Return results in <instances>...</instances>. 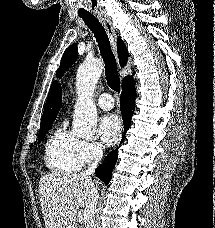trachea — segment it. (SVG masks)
I'll list each match as a JSON object with an SVG mask.
<instances>
[{
  "mask_svg": "<svg viewBox=\"0 0 215 228\" xmlns=\"http://www.w3.org/2000/svg\"><path fill=\"white\" fill-rule=\"evenodd\" d=\"M88 28L92 30L95 39L98 43L100 54L105 63V76L107 84L112 90L119 92L120 91V78L117 71L116 61L114 54L110 47L109 38L107 36L104 27L101 23L90 13L79 14Z\"/></svg>",
  "mask_w": 215,
  "mask_h": 228,
  "instance_id": "trachea-1",
  "label": "trachea"
}]
</instances>
